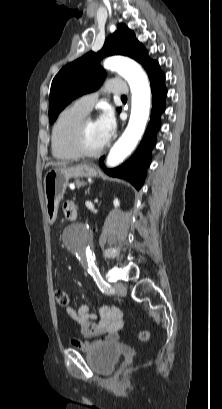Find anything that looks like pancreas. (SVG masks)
<instances>
[{
    "mask_svg": "<svg viewBox=\"0 0 222 409\" xmlns=\"http://www.w3.org/2000/svg\"><path fill=\"white\" fill-rule=\"evenodd\" d=\"M84 184L85 183L83 181H79V180L76 181L77 186H83Z\"/></svg>",
    "mask_w": 222,
    "mask_h": 409,
    "instance_id": "pancreas-1",
    "label": "pancreas"
}]
</instances>
